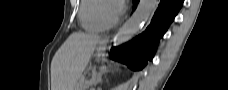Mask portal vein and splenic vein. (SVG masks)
Here are the masks:
<instances>
[{"mask_svg":"<svg viewBox=\"0 0 228 90\" xmlns=\"http://www.w3.org/2000/svg\"><path fill=\"white\" fill-rule=\"evenodd\" d=\"M93 78L91 79V80H89L87 83H88V85H90V84H93Z\"/></svg>","mask_w":228,"mask_h":90,"instance_id":"1","label":"portal vein and splenic vein"}]
</instances>
